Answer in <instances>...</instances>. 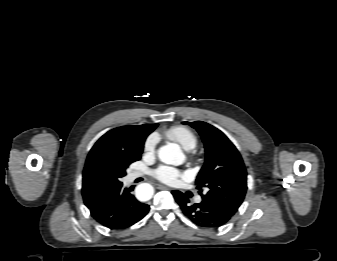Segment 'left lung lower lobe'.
Segmentation results:
<instances>
[{
	"label": "left lung lower lobe",
	"instance_id": "0a47b994",
	"mask_svg": "<svg viewBox=\"0 0 337 261\" xmlns=\"http://www.w3.org/2000/svg\"><path fill=\"white\" fill-rule=\"evenodd\" d=\"M183 214L193 223L205 228H218L226 224L232 216L211 202L190 204L189 199L180 191L172 192Z\"/></svg>",
	"mask_w": 337,
	"mask_h": 261
}]
</instances>
